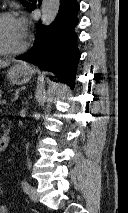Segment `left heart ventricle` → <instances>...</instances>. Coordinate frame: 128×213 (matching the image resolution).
I'll return each mask as SVG.
<instances>
[{"label":"left heart ventricle","instance_id":"obj_1","mask_svg":"<svg viewBox=\"0 0 128 213\" xmlns=\"http://www.w3.org/2000/svg\"><path fill=\"white\" fill-rule=\"evenodd\" d=\"M25 36L20 32L14 17L4 19L0 23V43L9 49L18 48L23 44Z\"/></svg>","mask_w":128,"mask_h":213}]
</instances>
